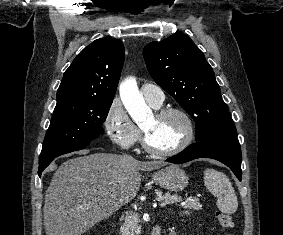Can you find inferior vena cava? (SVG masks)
Returning <instances> with one entry per match:
<instances>
[{"label":"inferior vena cava","instance_id":"inferior-vena-cava-1","mask_svg":"<svg viewBox=\"0 0 283 235\" xmlns=\"http://www.w3.org/2000/svg\"><path fill=\"white\" fill-rule=\"evenodd\" d=\"M124 157H125V158H128V159H131V158H132V157L129 156V155H125Z\"/></svg>","mask_w":283,"mask_h":235}]
</instances>
